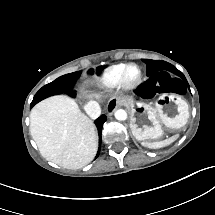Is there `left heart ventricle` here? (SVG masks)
Masks as SVG:
<instances>
[{
	"mask_svg": "<svg viewBox=\"0 0 215 215\" xmlns=\"http://www.w3.org/2000/svg\"><path fill=\"white\" fill-rule=\"evenodd\" d=\"M133 72L130 69H127L124 73L125 78H130L132 76Z\"/></svg>",
	"mask_w": 215,
	"mask_h": 215,
	"instance_id": "left-heart-ventricle-1",
	"label": "left heart ventricle"
}]
</instances>
